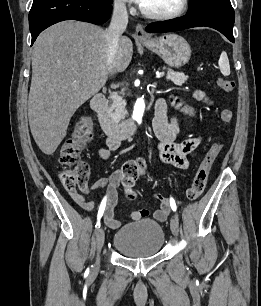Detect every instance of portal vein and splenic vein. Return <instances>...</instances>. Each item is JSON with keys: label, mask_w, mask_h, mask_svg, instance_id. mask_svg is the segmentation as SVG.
Listing matches in <instances>:
<instances>
[{"label": "portal vein and splenic vein", "mask_w": 261, "mask_h": 306, "mask_svg": "<svg viewBox=\"0 0 261 306\" xmlns=\"http://www.w3.org/2000/svg\"><path fill=\"white\" fill-rule=\"evenodd\" d=\"M163 75H164V72L157 73V74H156V78H161Z\"/></svg>", "instance_id": "portal-vein-and-splenic-vein-1"}]
</instances>
